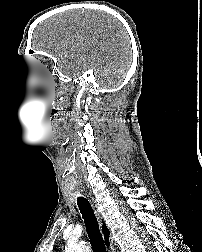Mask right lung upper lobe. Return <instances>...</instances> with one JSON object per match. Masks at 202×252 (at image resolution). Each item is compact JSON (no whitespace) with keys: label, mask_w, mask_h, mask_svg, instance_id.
<instances>
[{"label":"right lung upper lobe","mask_w":202,"mask_h":252,"mask_svg":"<svg viewBox=\"0 0 202 252\" xmlns=\"http://www.w3.org/2000/svg\"><path fill=\"white\" fill-rule=\"evenodd\" d=\"M102 231H103V234H104V237H105L106 244L108 246L109 245V230H108V228L106 227L105 224H103Z\"/></svg>","instance_id":"cb5924a9"}]
</instances>
